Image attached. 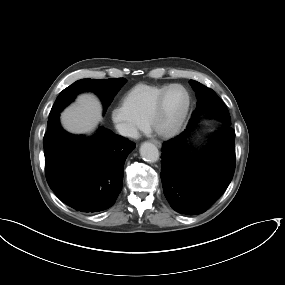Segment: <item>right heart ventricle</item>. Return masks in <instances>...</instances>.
I'll return each instance as SVG.
<instances>
[{
  "label": "right heart ventricle",
  "instance_id": "1",
  "mask_svg": "<svg viewBox=\"0 0 285 285\" xmlns=\"http://www.w3.org/2000/svg\"><path fill=\"white\" fill-rule=\"evenodd\" d=\"M167 86L137 84L125 94L123 102L137 119L145 121L161 92Z\"/></svg>",
  "mask_w": 285,
  "mask_h": 285
}]
</instances>
